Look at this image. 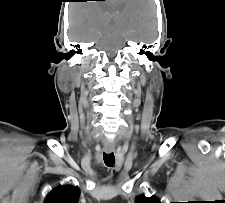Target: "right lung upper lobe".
I'll return each mask as SVG.
<instances>
[{"mask_svg":"<svg viewBox=\"0 0 225 203\" xmlns=\"http://www.w3.org/2000/svg\"><path fill=\"white\" fill-rule=\"evenodd\" d=\"M79 194L80 189L76 186H60L47 195L45 203H77Z\"/></svg>","mask_w":225,"mask_h":203,"instance_id":"1","label":"right lung upper lobe"}]
</instances>
